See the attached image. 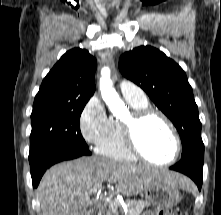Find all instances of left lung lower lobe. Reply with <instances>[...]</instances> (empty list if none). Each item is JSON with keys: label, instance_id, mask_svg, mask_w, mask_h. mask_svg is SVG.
Wrapping results in <instances>:
<instances>
[{"label": "left lung lower lobe", "instance_id": "left-lung-lower-lobe-1", "mask_svg": "<svg viewBox=\"0 0 221 215\" xmlns=\"http://www.w3.org/2000/svg\"><path fill=\"white\" fill-rule=\"evenodd\" d=\"M203 161L204 155L192 153L182 157L181 160L175 165L171 166L170 169L189 176L197 184L198 189L201 190Z\"/></svg>", "mask_w": 221, "mask_h": 215}]
</instances>
